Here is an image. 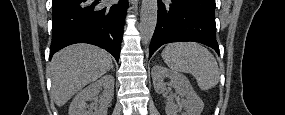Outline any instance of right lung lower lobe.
I'll return each instance as SVG.
<instances>
[{"mask_svg": "<svg viewBox=\"0 0 285 115\" xmlns=\"http://www.w3.org/2000/svg\"><path fill=\"white\" fill-rule=\"evenodd\" d=\"M127 0L103 6L101 0H52L50 58L75 43L104 48L119 60Z\"/></svg>", "mask_w": 285, "mask_h": 115, "instance_id": "obj_1", "label": "right lung lower lobe"}]
</instances>
